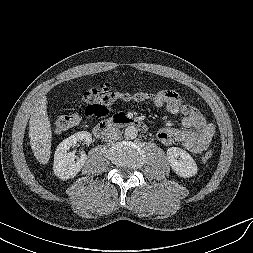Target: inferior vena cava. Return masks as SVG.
Wrapping results in <instances>:
<instances>
[{"label":"inferior vena cava","instance_id":"inferior-vena-cava-1","mask_svg":"<svg viewBox=\"0 0 253 253\" xmlns=\"http://www.w3.org/2000/svg\"><path fill=\"white\" fill-rule=\"evenodd\" d=\"M121 136H122L121 131L113 127L107 128L104 132V139L107 142L117 141L121 138Z\"/></svg>","mask_w":253,"mask_h":253}]
</instances>
